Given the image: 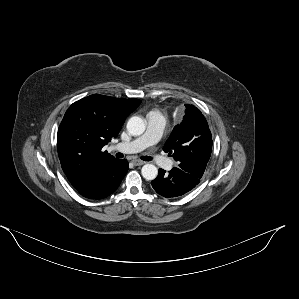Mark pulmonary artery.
<instances>
[{
    "mask_svg": "<svg viewBox=\"0 0 299 299\" xmlns=\"http://www.w3.org/2000/svg\"><path fill=\"white\" fill-rule=\"evenodd\" d=\"M166 123L167 119L163 113L153 111L147 116V129L144 134L130 142L117 143L113 148L124 153H137L149 146L155 145L161 139ZM156 162L166 169L172 167V161L167 158L159 157L156 159Z\"/></svg>",
    "mask_w": 299,
    "mask_h": 299,
    "instance_id": "e3ab8cb5",
    "label": "pulmonary artery"
}]
</instances>
